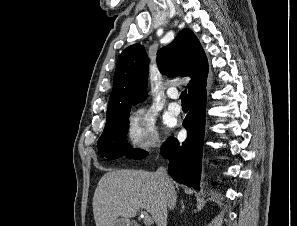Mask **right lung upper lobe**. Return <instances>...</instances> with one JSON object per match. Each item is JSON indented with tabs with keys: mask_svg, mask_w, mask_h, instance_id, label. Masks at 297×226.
Here are the masks:
<instances>
[{
	"mask_svg": "<svg viewBox=\"0 0 297 226\" xmlns=\"http://www.w3.org/2000/svg\"><path fill=\"white\" fill-rule=\"evenodd\" d=\"M157 64L161 73L168 76H189V96L206 86L208 61L195 34L183 29L172 43L159 50ZM148 57L144 47L134 44L119 56L113 80L108 110L131 108L146 97ZM107 110V111H108Z\"/></svg>",
	"mask_w": 297,
	"mask_h": 226,
	"instance_id": "obj_1",
	"label": "right lung upper lobe"
}]
</instances>
